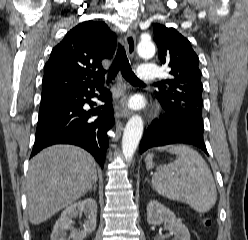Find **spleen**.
Wrapping results in <instances>:
<instances>
[{
	"label": "spleen",
	"instance_id": "obj_1",
	"mask_svg": "<svg viewBox=\"0 0 248 240\" xmlns=\"http://www.w3.org/2000/svg\"><path fill=\"white\" fill-rule=\"evenodd\" d=\"M178 155L173 163L157 169L152 176V185L157 193L187 203L200 213L209 211L216 203L217 191L211 170L201 155L187 145L167 149ZM146 168L152 169L153 153L146 158Z\"/></svg>",
	"mask_w": 248,
	"mask_h": 240
}]
</instances>
